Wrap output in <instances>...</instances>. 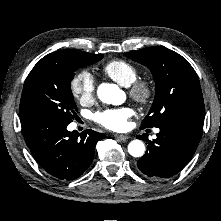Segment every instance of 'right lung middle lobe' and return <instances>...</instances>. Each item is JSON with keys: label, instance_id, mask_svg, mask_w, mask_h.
<instances>
[{"label": "right lung middle lobe", "instance_id": "1", "mask_svg": "<svg viewBox=\"0 0 221 221\" xmlns=\"http://www.w3.org/2000/svg\"><path fill=\"white\" fill-rule=\"evenodd\" d=\"M102 58L101 54L83 53L65 61H39L24 82L20 115L37 112L72 122L77 111L70 88L74 71Z\"/></svg>", "mask_w": 221, "mask_h": 221}]
</instances>
